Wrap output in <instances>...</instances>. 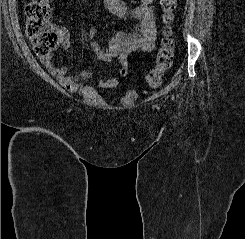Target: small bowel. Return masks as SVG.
Segmentation results:
<instances>
[{"label":"small bowel","mask_w":245,"mask_h":239,"mask_svg":"<svg viewBox=\"0 0 245 239\" xmlns=\"http://www.w3.org/2000/svg\"><path fill=\"white\" fill-rule=\"evenodd\" d=\"M155 0H140L136 6H129L123 0H105L107 10L119 18H128L138 21L131 31H118L108 42V46L103 48L96 40L89 43V49L101 62H111L118 60L120 63L118 74L125 77L128 74V55L134 51L150 52L154 49L156 39L155 26ZM61 46L64 50H69L71 43L66 32L61 31ZM87 36L94 39L96 29L91 28ZM42 63L49 73L68 91L77 92L82 80L91 79L94 74L84 70L76 76H68L66 68L57 67L52 56L40 57ZM119 85V78L112 77L101 79L98 86L104 89L116 88Z\"/></svg>","instance_id":"obj_1"}]
</instances>
